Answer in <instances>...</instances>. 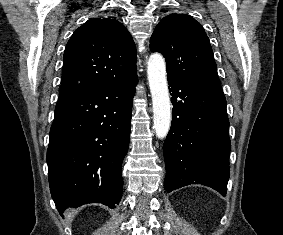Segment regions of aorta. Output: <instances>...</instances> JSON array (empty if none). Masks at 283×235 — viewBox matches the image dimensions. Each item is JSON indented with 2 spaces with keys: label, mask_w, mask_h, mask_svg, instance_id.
Returning <instances> with one entry per match:
<instances>
[{
  "label": "aorta",
  "mask_w": 283,
  "mask_h": 235,
  "mask_svg": "<svg viewBox=\"0 0 283 235\" xmlns=\"http://www.w3.org/2000/svg\"><path fill=\"white\" fill-rule=\"evenodd\" d=\"M148 81L153 104V122L157 138L167 136L171 125V103L163 56L153 53L148 60Z\"/></svg>",
  "instance_id": "obj_1"
}]
</instances>
